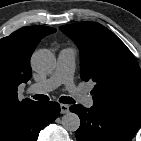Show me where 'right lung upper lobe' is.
Here are the masks:
<instances>
[{"instance_id": "cb5924a9", "label": "right lung upper lobe", "mask_w": 141, "mask_h": 141, "mask_svg": "<svg viewBox=\"0 0 141 141\" xmlns=\"http://www.w3.org/2000/svg\"><path fill=\"white\" fill-rule=\"evenodd\" d=\"M55 31L51 27L28 26L0 39V125L35 103L30 99L19 101L17 88L32 76L30 56L37 44Z\"/></svg>"}]
</instances>
